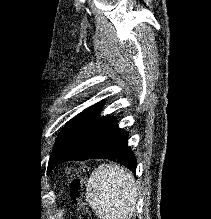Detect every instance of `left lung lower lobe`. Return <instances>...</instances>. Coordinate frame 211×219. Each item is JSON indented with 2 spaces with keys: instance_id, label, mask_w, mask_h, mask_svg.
Returning <instances> with one entry per match:
<instances>
[{
  "instance_id": "0a47b994",
  "label": "left lung lower lobe",
  "mask_w": 211,
  "mask_h": 219,
  "mask_svg": "<svg viewBox=\"0 0 211 219\" xmlns=\"http://www.w3.org/2000/svg\"><path fill=\"white\" fill-rule=\"evenodd\" d=\"M100 105L92 106L69 129L52 153L48 171L70 160L109 159L136 170V157L128 147V133L114 117H99Z\"/></svg>"
}]
</instances>
